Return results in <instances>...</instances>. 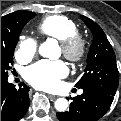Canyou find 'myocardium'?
Segmentation results:
<instances>
[{"instance_id": "1", "label": "myocardium", "mask_w": 121, "mask_h": 121, "mask_svg": "<svg viewBox=\"0 0 121 121\" xmlns=\"http://www.w3.org/2000/svg\"><path fill=\"white\" fill-rule=\"evenodd\" d=\"M61 49L66 59L78 63L86 55L87 42L82 35L76 33L61 41Z\"/></svg>"}]
</instances>
